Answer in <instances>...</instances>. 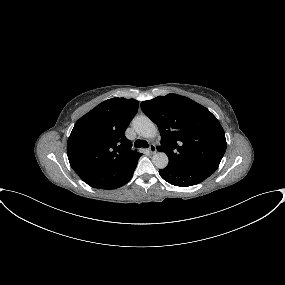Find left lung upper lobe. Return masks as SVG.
I'll return each instance as SVG.
<instances>
[{"mask_svg":"<svg viewBox=\"0 0 285 285\" xmlns=\"http://www.w3.org/2000/svg\"><path fill=\"white\" fill-rule=\"evenodd\" d=\"M141 108L159 128V150L169 157L168 166L211 174L217 170L226 151V138L207 108L177 94L143 101Z\"/></svg>","mask_w":285,"mask_h":285,"instance_id":"5c2ea615","label":"left lung upper lobe"}]
</instances>
